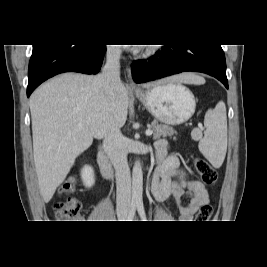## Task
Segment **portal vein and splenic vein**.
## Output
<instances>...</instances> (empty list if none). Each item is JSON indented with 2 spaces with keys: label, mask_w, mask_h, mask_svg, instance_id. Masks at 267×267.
Segmentation results:
<instances>
[{
  "label": "portal vein and splenic vein",
  "mask_w": 267,
  "mask_h": 267,
  "mask_svg": "<svg viewBox=\"0 0 267 267\" xmlns=\"http://www.w3.org/2000/svg\"><path fill=\"white\" fill-rule=\"evenodd\" d=\"M78 126H82V123H79ZM152 134H153V131H152L151 129H148V130L146 131V135H147V136H151Z\"/></svg>",
  "instance_id": "obj_1"
}]
</instances>
